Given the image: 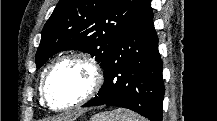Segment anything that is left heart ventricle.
Listing matches in <instances>:
<instances>
[{
	"instance_id": "left-heart-ventricle-1",
	"label": "left heart ventricle",
	"mask_w": 217,
	"mask_h": 121,
	"mask_svg": "<svg viewBox=\"0 0 217 121\" xmlns=\"http://www.w3.org/2000/svg\"><path fill=\"white\" fill-rule=\"evenodd\" d=\"M92 71L82 62L61 65L53 73L48 93L54 106L69 105L81 98L90 88Z\"/></svg>"
}]
</instances>
